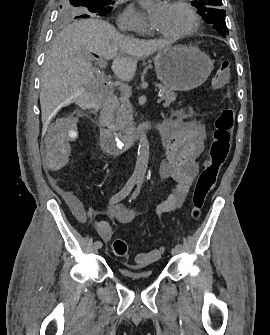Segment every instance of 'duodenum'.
<instances>
[{"label":"duodenum","instance_id":"duodenum-1","mask_svg":"<svg viewBox=\"0 0 270 335\" xmlns=\"http://www.w3.org/2000/svg\"><path fill=\"white\" fill-rule=\"evenodd\" d=\"M106 100L103 104L100 120V138L104 150L109 154H121L133 147L146 133L160 130L156 123H146L141 125L137 130L127 136H117L112 129L113 116L118 105V96L110 88H105Z\"/></svg>","mask_w":270,"mask_h":335}]
</instances>
